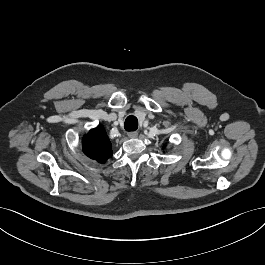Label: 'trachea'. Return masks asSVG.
<instances>
[{
    "label": "trachea",
    "mask_w": 265,
    "mask_h": 265,
    "mask_svg": "<svg viewBox=\"0 0 265 265\" xmlns=\"http://www.w3.org/2000/svg\"><path fill=\"white\" fill-rule=\"evenodd\" d=\"M126 131H135L138 128V120L135 116H128L124 123Z\"/></svg>",
    "instance_id": "trachea-1"
}]
</instances>
